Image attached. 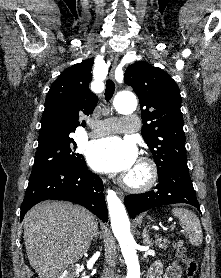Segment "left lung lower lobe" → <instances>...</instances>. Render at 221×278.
Here are the masks:
<instances>
[{"label":"left lung lower lobe","instance_id":"left-lung-lower-lobe-1","mask_svg":"<svg viewBox=\"0 0 221 278\" xmlns=\"http://www.w3.org/2000/svg\"><path fill=\"white\" fill-rule=\"evenodd\" d=\"M155 190L144 194H131L124 203L131 218L148 209L175 203H186L200 209L189 176L187 163H176L158 175Z\"/></svg>","mask_w":221,"mask_h":278}]
</instances>
